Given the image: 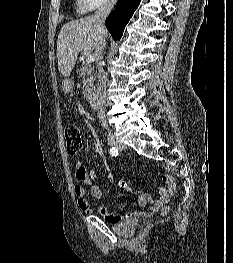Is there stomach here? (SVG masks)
I'll return each mask as SVG.
<instances>
[{"label":"stomach","mask_w":233,"mask_h":263,"mask_svg":"<svg viewBox=\"0 0 233 263\" xmlns=\"http://www.w3.org/2000/svg\"><path fill=\"white\" fill-rule=\"evenodd\" d=\"M61 88H64L65 91L69 92L73 88V82L69 77H64L61 81Z\"/></svg>","instance_id":"1"}]
</instances>
